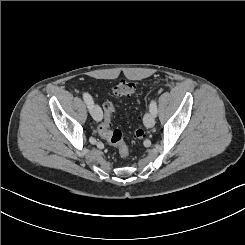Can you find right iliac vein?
<instances>
[{"mask_svg": "<svg viewBox=\"0 0 245 245\" xmlns=\"http://www.w3.org/2000/svg\"><path fill=\"white\" fill-rule=\"evenodd\" d=\"M90 113H91L92 117L94 118V120H96V121L102 120L103 112L97 104H92V106L90 108Z\"/></svg>", "mask_w": 245, "mask_h": 245, "instance_id": "obj_1", "label": "right iliac vein"}]
</instances>
